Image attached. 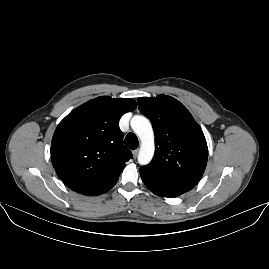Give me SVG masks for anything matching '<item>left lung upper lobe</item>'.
Listing matches in <instances>:
<instances>
[{"label": "left lung upper lobe", "instance_id": "5c2ea615", "mask_svg": "<svg viewBox=\"0 0 269 269\" xmlns=\"http://www.w3.org/2000/svg\"><path fill=\"white\" fill-rule=\"evenodd\" d=\"M138 106L152 122L156 145L152 162L140 170L196 185L206 168L208 148L191 113L178 100L164 94L140 97Z\"/></svg>", "mask_w": 269, "mask_h": 269}]
</instances>
